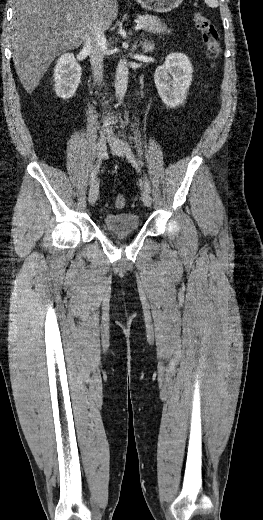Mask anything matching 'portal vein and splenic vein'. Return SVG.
<instances>
[{
	"label": "portal vein and splenic vein",
	"instance_id": "portal-vein-and-splenic-vein-1",
	"mask_svg": "<svg viewBox=\"0 0 263 520\" xmlns=\"http://www.w3.org/2000/svg\"><path fill=\"white\" fill-rule=\"evenodd\" d=\"M66 18H67L68 20H71V16H70V15H67ZM142 26H143L142 23H141V22H138V23L136 24V26H135V30H139V29H141Z\"/></svg>",
	"mask_w": 263,
	"mask_h": 520
}]
</instances>
